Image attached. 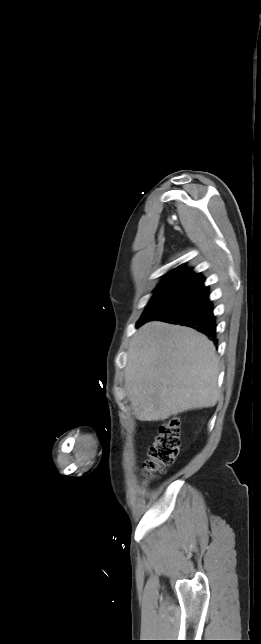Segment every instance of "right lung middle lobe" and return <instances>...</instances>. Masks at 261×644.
Listing matches in <instances>:
<instances>
[{"instance_id":"right-lung-middle-lobe-1","label":"right lung middle lobe","mask_w":261,"mask_h":644,"mask_svg":"<svg viewBox=\"0 0 261 644\" xmlns=\"http://www.w3.org/2000/svg\"><path fill=\"white\" fill-rule=\"evenodd\" d=\"M203 285L185 281L162 282L149 301L144 313L137 322V326L160 318L196 296Z\"/></svg>"}]
</instances>
